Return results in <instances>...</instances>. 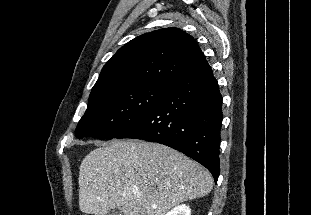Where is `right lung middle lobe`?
<instances>
[{"label":"right lung middle lobe","instance_id":"1","mask_svg":"<svg viewBox=\"0 0 311 215\" xmlns=\"http://www.w3.org/2000/svg\"><path fill=\"white\" fill-rule=\"evenodd\" d=\"M166 89L167 84L141 83L113 86L91 94L76 137L115 138L147 115Z\"/></svg>","mask_w":311,"mask_h":215}]
</instances>
